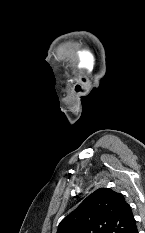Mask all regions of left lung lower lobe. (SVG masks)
Returning <instances> with one entry per match:
<instances>
[{
	"instance_id": "obj_1",
	"label": "left lung lower lobe",
	"mask_w": 145,
	"mask_h": 233,
	"mask_svg": "<svg viewBox=\"0 0 145 233\" xmlns=\"http://www.w3.org/2000/svg\"><path fill=\"white\" fill-rule=\"evenodd\" d=\"M131 233H138L137 227L135 226V228L131 231Z\"/></svg>"
}]
</instances>
